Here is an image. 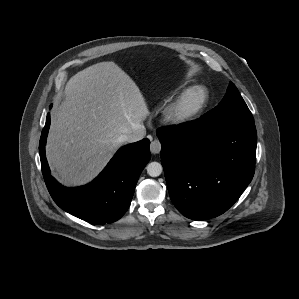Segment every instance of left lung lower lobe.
<instances>
[{
  "instance_id": "0a47b994",
  "label": "left lung lower lobe",
  "mask_w": 299,
  "mask_h": 299,
  "mask_svg": "<svg viewBox=\"0 0 299 299\" xmlns=\"http://www.w3.org/2000/svg\"><path fill=\"white\" fill-rule=\"evenodd\" d=\"M156 133L171 200L187 218L221 215L253 178L254 124L214 125L199 118Z\"/></svg>"
}]
</instances>
